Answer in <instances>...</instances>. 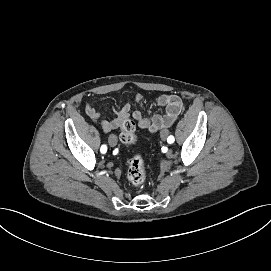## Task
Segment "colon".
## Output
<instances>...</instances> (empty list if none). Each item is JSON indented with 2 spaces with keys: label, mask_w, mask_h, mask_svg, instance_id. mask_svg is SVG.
<instances>
[{
  "label": "colon",
  "mask_w": 271,
  "mask_h": 271,
  "mask_svg": "<svg viewBox=\"0 0 271 271\" xmlns=\"http://www.w3.org/2000/svg\"><path fill=\"white\" fill-rule=\"evenodd\" d=\"M135 123L131 119L125 120L121 125L120 140L125 145H133L137 141ZM128 180L135 186H141L146 179L144 159L136 154L130 160L127 171Z\"/></svg>",
  "instance_id": "1"
}]
</instances>
